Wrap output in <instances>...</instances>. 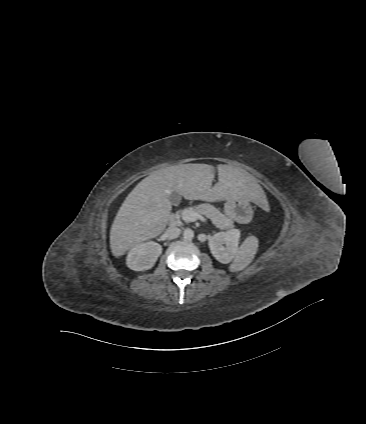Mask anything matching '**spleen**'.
<instances>
[{
  "mask_svg": "<svg viewBox=\"0 0 366 424\" xmlns=\"http://www.w3.org/2000/svg\"><path fill=\"white\" fill-rule=\"evenodd\" d=\"M258 250V238L255 236L247 237L239 247L232 264L230 271L238 272L245 269L253 260Z\"/></svg>",
  "mask_w": 366,
  "mask_h": 424,
  "instance_id": "spleen-1",
  "label": "spleen"
}]
</instances>
